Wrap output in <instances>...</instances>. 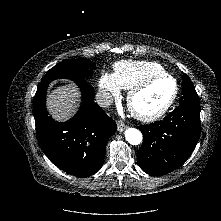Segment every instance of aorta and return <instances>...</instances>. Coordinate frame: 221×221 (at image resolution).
Returning a JSON list of instances; mask_svg holds the SVG:
<instances>
[{
  "label": "aorta",
  "instance_id": "aorta-1",
  "mask_svg": "<svg viewBox=\"0 0 221 221\" xmlns=\"http://www.w3.org/2000/svg\"><path fill=\"white\" fill-rule=\"evenodd\" d=\"M125 139L131 145H139L142 142V133L136 128H128L125 131Z\"/></svg>",
  "mask_w": 221,
  "mask_h": 221
}]
</instances>
